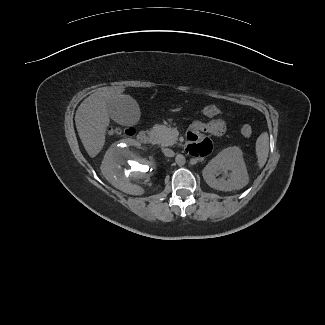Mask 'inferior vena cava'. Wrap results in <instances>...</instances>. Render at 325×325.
Masks as SVG:
<instances>
[{
  "label": "inferior vena cava",
  "mask_w": 325,
  "mask_h": 325,
  "mask_svg": "<svg viewBox=\"0 0 325 325\" xmlns=\"http://www.w3.org/2000/svg\"><path fill=\"white\" fill-rule=\"evenodd\" d=\"M162 152L164 153L165 156L167 157H173L175 155L174 151L168 148L162 149Z\"/></svg>",
  "instance_id": "obj_1"
}]
</instances>
